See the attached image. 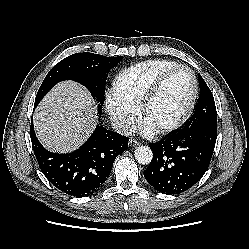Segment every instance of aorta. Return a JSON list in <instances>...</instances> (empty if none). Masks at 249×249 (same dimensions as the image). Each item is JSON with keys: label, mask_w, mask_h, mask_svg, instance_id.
Returning <instances> with one entry per match:
<instances>
[{"label": "aorta", "mask_w": 249, "mask_h": 249, "mask_svg": "<svg viewBox=\"0 0 249 249\" xmlns=\"http://www.w3.org/2000/svg\"><path fill=\"white\" fill-rule=\"evenodd\" d=\"M135 159L142 165L150 164L153 159V152L148 146H138L134 152Z\"/></svg>", "instance_id": "obj_1"}]
</instances>
